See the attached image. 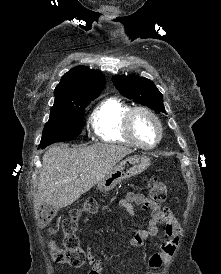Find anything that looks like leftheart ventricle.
<instances>
[{
  "instance_id": "1",
  "label": "left heart ventricle",
  "mask_w": 221,
  "mask_h": 274,
  "mask_svg": "<svg viewBox=\"0 0 221 274\" xmlns=\"http://www.w3.org/2000/svg\"><path fill=\"white\" fill-rule=\"evenodd\" d=\"M134 130L138 139L145 144H153L157 137V126L153 119L144 113H138L134 119Z\"/></svg>"
}]
</instances>
